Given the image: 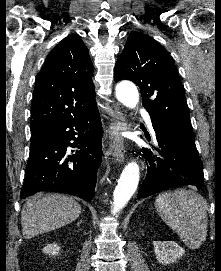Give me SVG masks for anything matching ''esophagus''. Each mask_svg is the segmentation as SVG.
Masks as SVG:
<instances>
[{"label":"esophagus","mask_w":221,"mask_h":271,"mask_svg":"<svg viewBox=\"0 0 221 271\" xmlns=\"http://www.w3.org/2000/svg\"><path fill=\"white\" fill-rule=\"evenodd\" d=\"M115 121L110 124L109 148L112 150L113 158L118 162L124 161V138L123 131H126V123L119 109H114Z\"/></svg>","instance_id":"34e87169"}]
</instances>
